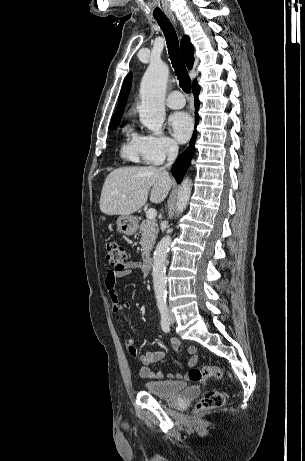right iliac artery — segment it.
Here are the masks:
<instances>
[{"instance_id":"right-iliac-artery-1","label":"right iliac artery","mask_w":305,"mask_h":461,"mask_svg":"<svg viewBox=\"0 0 305 461\" xmlns=\"http://www.w3.org/2000/svg\"><path fill=\"white\" fill-rule=\"evenodd\" d=\"M157 304L161 314V327L164 332L170 331V320L168 317V309L166 303V297L158 296Z\"/></svg>"}]
</instances>
